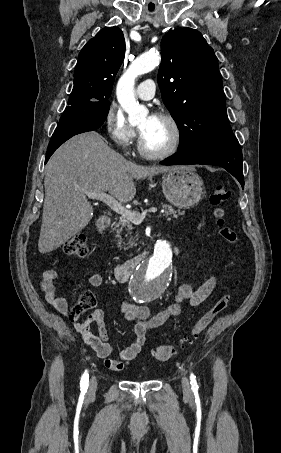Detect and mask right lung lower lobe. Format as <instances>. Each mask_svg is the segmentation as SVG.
<instances>
[{"instance_id":"obj_1","label":"right lung lower lobe","mask_w":281,"mask_h":453,"mask_svg":"<svg viewBox=\"0 0 281 453\" xmlns=\"http://www.w3.org/2000/svg\"><path fill=\"white\" fill-rule=\"evenodd\" d=\"M109 108L110 103L67 106L49 142L45 163L72 136L99 128L105 121Z\"/></svg>"}]
</instances>
